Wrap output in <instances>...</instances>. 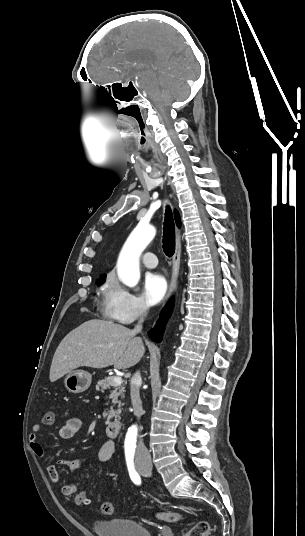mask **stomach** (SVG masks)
Listing matches in <instances>:
<instances>
[{
  "mask_svg": "<svg viewBox=\"0 0 305 536\" xmlns=\"http://www.w3.org/2000/svg\"><path fill=\"white\" fill-rule=\"evenodd\" d=\"M91 380L92 378L89 372H84V370H75V372H69V374H67L64 384L68 392L80 394V392H85V390H88Z\"/></svg>",
  "mask_w": 305,
  "mask_h": 536,
  "instance_id": "stomach-1",
  "label": "stomach"
}]
</instances>
